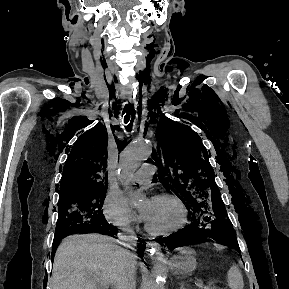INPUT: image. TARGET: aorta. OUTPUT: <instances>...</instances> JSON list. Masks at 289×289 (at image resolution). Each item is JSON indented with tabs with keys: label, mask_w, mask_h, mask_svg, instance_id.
Returning <instances> with one entry per match:
<instances>
[{
	"label": "aorta",
	"mask_w": 289,
	"mask_h": 289,
	"mask_svg": "<svg viewBox=\"0 0 289 289\" xmlns=\"http://www.w3.org/2000/svg\"><path fill=\"white\" fill-rule=\"evenodd\" d=\"M152 154V147L149 141L134 139L120 154L119 170L122 176H126L135 171L144 161L148 160ZM131 206H137L144 194L141 191H133L126 187ZM151 289H165V283L161 276H158Z\"/></svg>",
	"instance_id": "aorta-1"
}]
</instances>
